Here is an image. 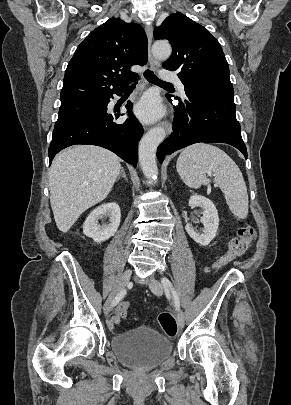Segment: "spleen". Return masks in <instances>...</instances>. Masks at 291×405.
Segmentation results:
<instances>
[{
	"instance_id": "obj_1",
	"label": "spleen",
	"mask_w": 291,
	"mask_h": 405,
	"mask_svg": "<svg viewBox=\"0 0 291 405\" xmlns=\"http://www.w3.org/2000/svg\"><path fill=\"white\" fill-rule=\"evenodd\" d=\"M177 171L190 188L198 189L210 182L206 174L213 173L214 183L222 190L230 211L238 219L248 215V194L237 164L220 148L210 144H194L179 155Z\"/></svg>"
}]
</instances>
